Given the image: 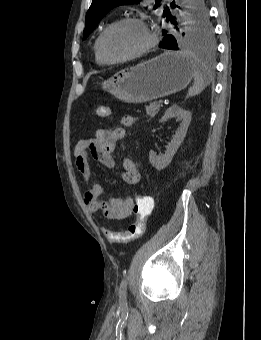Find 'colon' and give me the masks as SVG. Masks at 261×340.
<instances>
[{"instance_id":"obj_1","label":"colon","mask_w":261,"mask_h":340,"mask_svg":"<svg viewBox=\"0 0 261 340\" xmlns=\"http://www.w3.org/2000/svg\"><path fill=\"white\" fill-rule=\"evenodd\" d=\"M95 114L98 117H106L110 114L107 106H98ZM153 209V200L145 195L138 194L135 198L132 212L135 220L125 231H105V236L110 243H129L141 238L146 229V221Z\"/></svg>"}]
</instances>
